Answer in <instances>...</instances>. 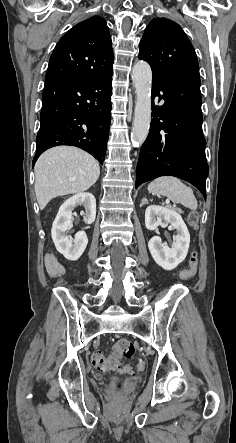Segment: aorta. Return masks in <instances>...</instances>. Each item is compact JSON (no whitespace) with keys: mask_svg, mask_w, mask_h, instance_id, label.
Returning <instances> with one entry per match:
<instances>
[{"mask_svg":"<svg viewBox=\"0 0 236 443\" xmlns=\"http://www.w3.org/2000/svg\"><path fill=\"white\" fill-rule=\"evenodd\" d=\"M132 77L136 102L131 140L139 146L146 140L151 122L152 71L150 65L143 60L136 62L132 69Z\"/></svg>","mask_w":236,"mask_h":443,"instance_id":"aorta-1","label":"aorta"}]
</instances>
